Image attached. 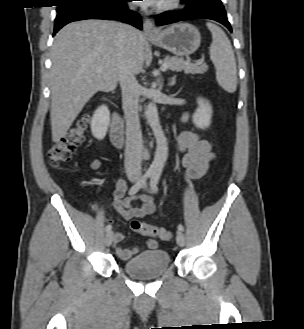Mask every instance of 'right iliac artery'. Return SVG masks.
I'll list each match as a JSON object with an SVG mask.
<instances>
[{
  "label": "right iliac artery",
  "instance_id": "obj_1",
  "mask_svg": "<svg viewBox=\"0 0 304 329\" xmlns=\"http://www.w3.org/2000/svg\"><path fill=\"white\" fill-rule=\"evenodd\" d=\"M152 176V172H146L129 190V195L136 194L139 189L145 184L146 180ZM112 229L111 225H107L105 228L106 232H109Z\"/></svg>",
  "mask_w": 304,
  "mask_h": 329
}]
</instances>
